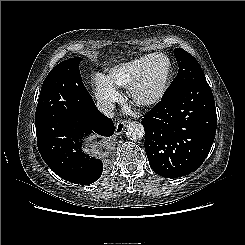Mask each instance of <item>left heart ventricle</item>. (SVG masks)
<instances>
[{
  "label": "left heart ventricle",
  "instance_id": "b2bd125f",
  "mask_svg": "<svg viewBox=\"0 0 245 245\" xmlns=\"http://www.w3.org/2000/svg\"><path fill=\"white\" fill-rule=\"evenodd\" d=\"M166 67L167 62L162 57H155L150 61L146 78L140 91L142 97H149L156 92L164 77Z\"/></svg>",
  "mask_w": 245,
  "mask_h": 245
}]
</instances>
